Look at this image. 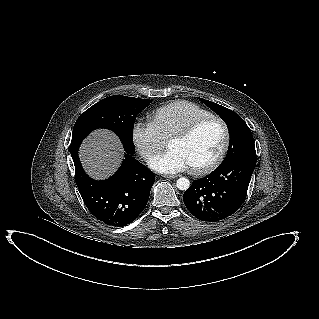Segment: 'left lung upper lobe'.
<instances>
[{
  "mask_svg": "<svg viewBox=\"0 0 319 319\" xmlns=\"http://www.w3.org/2000/svg\"><path fill=\"white\" fill-rule=\"evenodd\" d=\"M199 100L216 112L225 121L229 129V148L224 161L220 165L236 159L256 161L253 136L244 120L226 107L205 99L199 98Z\"/></svg>",
  "mask_w": 319,
  "mask_h": 319,
  "instance_id": "1",
  "label": "left lung upper lobe"
}]
</instances>
